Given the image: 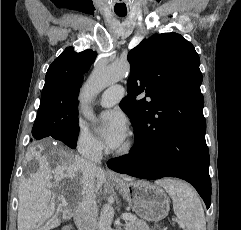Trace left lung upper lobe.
Returning <instances> with one entry per match:
<instances>
[{
    "mask_svg": "<svg viewBox=\"0 0 241 230\" xmlns=\"http://www.w3.org/2000/svg\"><path fill=\"white\" fill-rule=\"evenodd\" d=\"M128 60V96L120 107L137 135L158 141L173 131L205 134L200 59L190 42L177 33L153 35ZM141 93L147 99L137 101Z\"/></svg>",
    "mask_w": 241,
    "mask_h": 230,
    "instance_id": "5c2ea615",
    "label": "left lung upper lobe"
}]
</instances>
